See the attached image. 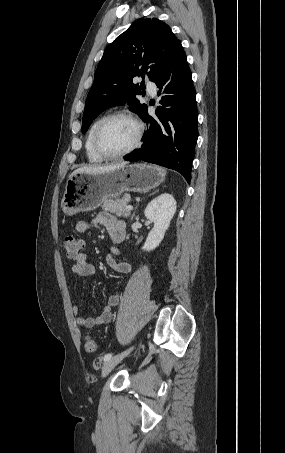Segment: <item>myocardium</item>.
<instances>
[{"label":"myocardium","mask_w":285,"mask_h":453,"mask_svg":"<svg viewBox=\"0 0 285 453\" xmlns=\"http://www.w3.org/2000/svg\"><path fill=\"white\" fill-rule=\"evenodd\" d=\"M115 118H126V119L130 120L131 122H133L136 126V138H135V141L133 142V144L129 148H127L121 152H118V153H108V152L104 151L100 146V134H101L103 127L106 125V123ZM144 131H145L144 124L137 116H135L133 113H131L127 110H118V111H115V112H112V113L106 115L97 124L94 134H93V148H94L95 152L103 159L110 160V159L121 158V157H124V156L132 153L141 145L142 139L144 136Z\"/></svg>","instance_id":"f54148a6"}]
</instances>
